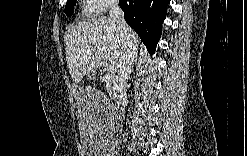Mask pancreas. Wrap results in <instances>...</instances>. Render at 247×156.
I'll return each instance as SVG.
<instances>
[{"label": "pancreas", "mask_w": 247, "mask_h": 156, "mask_svg": "<svg viewBox=\"0 0 247 156\" xmlns=\"http://www.w3.org/2000/svg\"><path fill=\"white\" fill-rule=\"evenodd\" d=\"M100 79L108 84L107 90L110 91L112 89L111 88L112 79H111L110 75H103Z\"/></svg>", "instance_id": "cf45deb5"}]
</instances>
